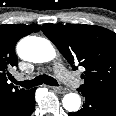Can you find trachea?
Returning a JSON list of instances; mask_svg holds the SVG:
<instances>
[{"instance_id": "1", "label": "trachea", "mask_w": 116, "mask_h": 116, "mask_svg": "<svg viewBox=\"0 0 116 116\" xmlns=\"http://www.w3.org/2000/svg\"><path fill=\"white\" fill-rule=\"evenodd\" d=\"M13 82L16 85H20L27 89H30V88L38 86V85H42L43 83H45L46 85H50V86H59L57 80H55L53 77L48 76L46 74L39 75L36 78H34L33 80H26V81L13 80Z\"/></svg>"}]
</instances>
